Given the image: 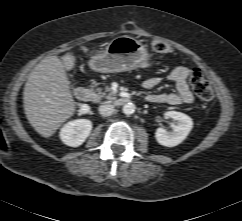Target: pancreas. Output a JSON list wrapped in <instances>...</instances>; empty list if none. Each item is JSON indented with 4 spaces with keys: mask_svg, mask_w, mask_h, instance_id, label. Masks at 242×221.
I'll list each match as a JSON object with an SVG mask.
<instances>
[{
    "mask_svg": "<svg viewBox=\"0 0 242 221\" xmlns=\"http://www.w3.org/2000/svg\"><path fill=\"white\" fill-rule=\"evenodd\" d=\"M95 91H96V94L94 97L95 102H100L101 99H103V98H106L109 101L115 100V97H113L115 95V92H113V91H111L108 96H106V93L102 92L100 88H97ZM106 91H110V88H106Z\"/></svg>",
    "mask_w": 242,
    "mask_h": 221,
    "instance_id": "pancreas-1",
    "label": "pancreas"
}]
</instances>
